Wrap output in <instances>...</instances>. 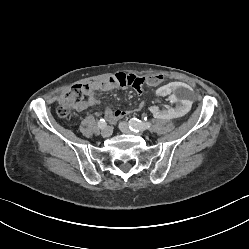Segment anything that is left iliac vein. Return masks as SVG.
<instances>
[{"label": "left iliac vein", "instance_id": "obj_1", "mask_svg": "<svg viewBox=\"0 0 249 249\" xmlns=\"http://www.w3.org/2000/svg\"><path fill=\"white\" fill-rule=\"evenodd\" d=\"M119 129L124 133H131V130L129 128L128 123L126 122H120L119 123ZM141 134V133H140Z\"/></svg>", "mask_w": 249, "mask_h": 249}]
</instances>
